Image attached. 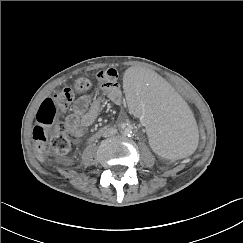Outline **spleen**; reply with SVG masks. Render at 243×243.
Masks as SVG:
<instances>
[{"mask_svg": "<svg viewBox=\"0 0 243 243\" xmlns=\"http://www.w3.org/2000/svg\"><path fill=\"white\" fill-rule=\"evenodd\" d=\"M123 97L132 112L148 128L152 149L166 159H180L195 146L197 128L185 102L154 70L138 69L123 84Z\"/></svg>", "mask_w": 243, "mask_h": 243, "instance_id": "spleen-1", "label": "spleen"}]
</instances>
